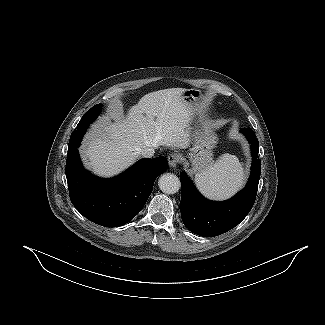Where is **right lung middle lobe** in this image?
I'll use <instances>...</instances> for the list:
<instances>
[{"mask_svg":"<svg viewBox=\"0 0 325 325\" xmlns=\"http://www.w3.org/2000/svg\"><path fill=\"white\" fill-rule=\"evenodd\" d=\"M103 105L98 104L93 106L91 109H89L82 117L80 122L77 125V128L74 131H78L80 129H86L89 127V125L96 119V117L99 115L101 108Z\"/></svg>","mask_w":325,"mask_h":325,"instance_id":"obj_1","label":"right lung middle lobe"}]
</instances>
